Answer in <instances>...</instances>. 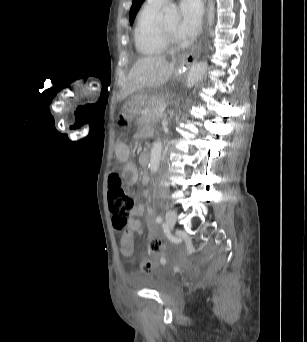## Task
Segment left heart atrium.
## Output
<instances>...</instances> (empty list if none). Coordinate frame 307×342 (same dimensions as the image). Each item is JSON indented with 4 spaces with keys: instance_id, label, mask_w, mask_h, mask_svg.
<instances>
[{
    "instance_id": "1",
    "label": "left heart atrium",
    "mask_w": 307,
    "mask_h": 342,
    "mask_svg": "<svg viewBox=\"0 0 307 342\" xmlns=\"http://www.w3.org/2000/svg\"><path fill=\"white\" fill-rule=\"evenodd\" d=\"M202 8L197 1L181 5V19L175 29V37L180 44H188L198 35L201 28Z\"/></svg>"
}]
</instances>
